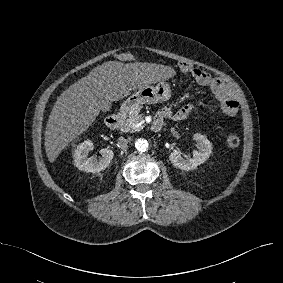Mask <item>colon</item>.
Here are the masks:
<instances>
[{"label": "colon", "instance_id": "obj_1", "mask_svg": "<svg viewBox=\"0 0 283 283\" xmlns=\"http://www.w3.org/2000/svg\"><path fill=\"white\" fill-rule=\"evenodd\" d=\"M181 69L188 72L191 68L187 64H181ZM225 144L231 150L237 149L240 145L239 137L233 133H228L225 135Z\"/></svg>", "mask_w": 283, "mask_h": 283}]
</instances>
